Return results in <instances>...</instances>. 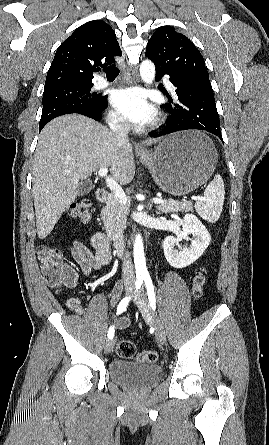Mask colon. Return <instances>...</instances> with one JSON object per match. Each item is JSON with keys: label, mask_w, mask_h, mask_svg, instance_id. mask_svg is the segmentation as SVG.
Returning a JSON list of instances; mask_svg holds the SVG:
<instances>
[{"label": "colon", "mask_w": 269, "mask_h": 445, "mask_svg": "<svg viewBox=\"0 0 269 445\" xmlns=\"http://www.w3.org/2000/svg\"><path fill=\"white\" fill-rule=\"evenodd\" d=\"M69 215L81 223H89L92 220L91 202L88 199L75 202L69 209ZM37 256L44 279L50 287L74 286L75 281L67 274L66 265L54 248L46 245L39 246ZM206 282V269L202 267L192 278L191 293L194 299L198 300L202 297ZM116 353L121 358L131 359L136 354V347L129 340H121L117 344ZM136 360L141 363H155L158 360V354L155 351L146 350L139 353Z\"/></svg>", "instance_id": "5ec220e1"}]
</instances>
